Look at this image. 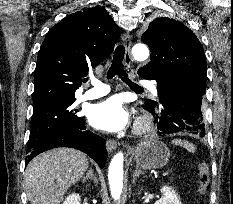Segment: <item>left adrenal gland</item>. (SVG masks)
I'll return each instance as SVG.
<instances>
[{"instance_id":"left-adrenal-gland-1","label":"left adrenal gland","mask_w":233,"mask_h":204,"mask_svg":"<svg viewBox=\"0 0 233 204\" xmlns=\"http://www.w3.org/2000/svg\"><path fill=\"white\" fill-rule=\"evenodd\" d=\"M141 174H143V172L138 167H136V170L133 173V183H135L137 177H139Z\"/></svg>"}]
</instances>
